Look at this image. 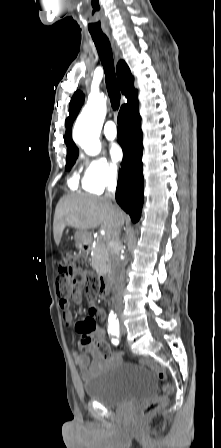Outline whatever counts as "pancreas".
<instances>
[{
	"label": "pancreas",
	"mask_w": 221,
	"mask_h": 448,
	"mask_svg": "<svg viewBox=\"0 0 221 448\" xmlns=\"http://www.w3.org/2000/svg\"><path fill=\"white\" fill-rule=\"evenodd\" d=\"M92 268L99 274L104 273L109 265V252L106 241L103 238H98L94 247L91 246Z\"/></svg>",
	"instance_id": "cf45deb5"
}]
</instances>
